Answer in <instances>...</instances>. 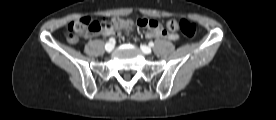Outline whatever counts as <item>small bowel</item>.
Instances as JSON below:
<instances>
[{
    "instance_id": "c3829d8e",
    "label": "small bowel",
    "mask_w": 276,
    "mask_h": 120,
    "mask_svg": "<svg viewBox=\"0 0 276 120\" xmlns=\"http://www.w3.org/2000/svg\"><path fill=\"white\" fill-rule=\"evenodd\" d=\"M151 25L147 26L148 31L146 33L147 38H167L169 40L175 41L178 39V35L176 33L167 32L163 29L159 22L156 20H149ZM103 35L109 36L112 35L113 32L107 31L102 32Z\"/></svg>"
}]
</instances>
